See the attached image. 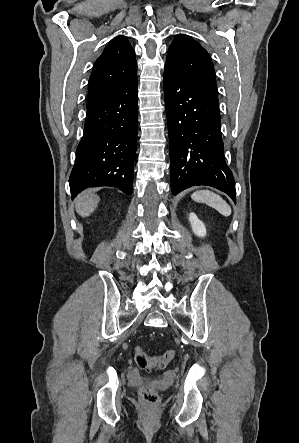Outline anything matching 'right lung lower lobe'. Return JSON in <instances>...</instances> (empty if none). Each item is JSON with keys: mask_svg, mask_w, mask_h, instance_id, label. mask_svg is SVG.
Returning a JSON list of instances; mask_svg holds the SVG:
<instances>
[{"mask_svg": "<svg viewBox=\"0 0 299 443\" xmlns=\"http://www.w3.org/2000/svg\"><path fill=\"white\" fill-rule=\"evenodd\" d=\"M137 117V77L87 107L84 134L69 179L72 198L92 186L132 193Z\"/></svg>", "mask_w": 299, "mask_h": 443, "instance_id": "98d812e1", "label": "right lung lower lobe"}]
</instances>
